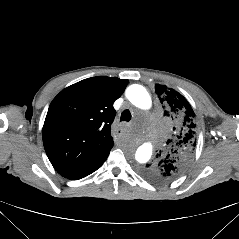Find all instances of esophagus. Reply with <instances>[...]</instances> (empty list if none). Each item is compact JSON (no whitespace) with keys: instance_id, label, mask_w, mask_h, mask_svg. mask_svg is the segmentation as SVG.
<instances>
[{"instance_id":"obj_1","label":"esophagus","mask_w":239,"mask_h":239,"mask_svg":"<svg viewBox=\"0 0 239 239\" xmlns=\"http://www.w3.org/2000/svg\"><path fill=\"white\" fill-rule=\"evenodd\" d=\"M114 134H115L116 136H121V135L123 134V129H122L121 127H116V128L114 129Z\"/></svg>"}]
</instances>
